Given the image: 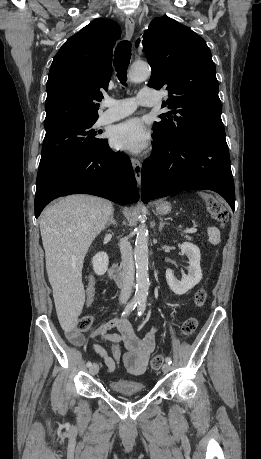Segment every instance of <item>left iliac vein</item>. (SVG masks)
<instances>
[{
    "label": "left iliac vein",
    "instance_id": "4c4485c4",
    "mask_svg": "<svg viewBox=\"0 0 261 459\" xmlns=\"http://www.w3.org/2000/svg\"><path fill=\"white\" fill-rule=\"evenodd\" d=\"M171 370V366L168 363L163 364L162 371L163 373H168Z\"/></svg>",
    "mask_w": 261,
    "mask_h": 459
}]
</instances>
